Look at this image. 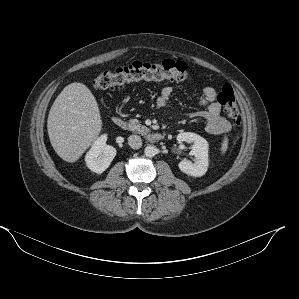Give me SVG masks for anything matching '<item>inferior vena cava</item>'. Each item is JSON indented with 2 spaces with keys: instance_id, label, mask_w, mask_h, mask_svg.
<instances>
[{
  "instance_id": "inferior-vena-cava-1",
  "label": "inferior vena cava",
  "mask_w": 299,
  "mask_h": 299,
  "mask_svg": "<svg viewBox=\"0 0 299 299\" xmlns=\"http://www.w3.org/2000/svg\"><path fill=\"white\" fill-rule=\"evenodd\" d=\"M128 144L133 149H139L142 146V139L138 135H130L128 137Z\"/></svg>"
}]
</instances>
